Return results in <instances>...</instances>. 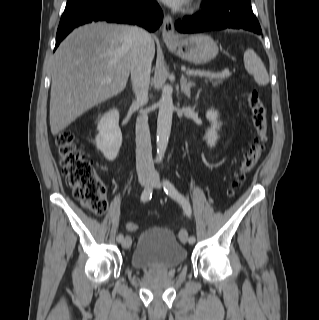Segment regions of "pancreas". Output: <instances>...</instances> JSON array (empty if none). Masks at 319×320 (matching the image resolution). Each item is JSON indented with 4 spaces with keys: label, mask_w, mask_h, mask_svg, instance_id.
<instances>
[{
    "label": "pancreas",
    "mask_w": 319,
    "mask_h": 320,
    "mask_svg": "<svg viewBox=\"0 0 319 320\" xmlns=\"http://www.w3.org/2000/svg\"><path fill=\"white\" fill-rule=\"evenodd\" d=\"M212 82L213 85H218L221 83V79H215V78H207L205 79V82Z\"/></svg>",
    "instance_id": "pancreas-1"
}]
</instances>
